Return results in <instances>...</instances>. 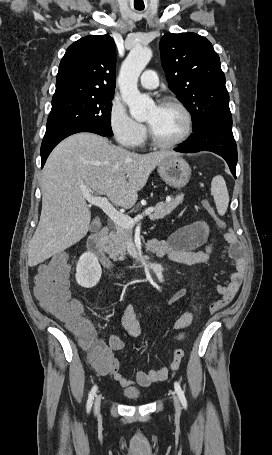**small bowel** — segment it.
Wrapping results in <instances>:
<instances>
[{"label":"small bowel","mask_w":272,"mask_h":455,"mask_svg":"<svg viewBox=\"0 0 272 455\" xmlns=\"http://www.w3.org/2000/svg\"><path fill=\"white\" fill-rule=\"evenodd\" d=\"M229 244V256L234 261L235 270L230 276V281L226 285H217V292L221 298L213 302L210 306L211 312H217L227 306L236 293L238 292L246 270V261L244 259L242 249L239 245L236 235L229 231L224 236ZM150 251L158 257H167L168 259L185 264L196 265L206 263L213 249V240L210 239L209 226L204 221H197L186 225L173 234L167 240H150ZM187 290L185 288L178 289L172 293L167 299V304L172 305L185 297ZM158 307L157 303H151L148 306V312H153ZM193 320V315L190 312L183 313L175 322V329L183 330L187 328ZM121 323L123 328L132 337H137L140 333V326L136 320L133 308L128 305L123 314ZM184 334L180 333L176 336L177 340H182ZM124 342L116 335H110L108 345L105 346L107 351L106 361L103 365H97V370L101 374H112L114 379L122 386L130 385L149 386L155 382L164 381L167 378L168 371L166 368L151 371H140L136 375V380L132 381L126 378L119 368L118 360L113 356V351H119L124 348ZM184 357V351L177 349L174 352L171 370H178L180 363Z\"/></svg>","instance_id":"c3829d8e"}]
</instances>
